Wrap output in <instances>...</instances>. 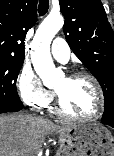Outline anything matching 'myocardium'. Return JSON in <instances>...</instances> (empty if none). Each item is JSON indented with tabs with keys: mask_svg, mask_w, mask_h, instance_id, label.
<instances>
[{
	"mask_svg": "<svg viewBox=\"0 0 114 156\" xmlns=\"http://www.w3.org/2000/svg\"><path fill=\"white\" fill-rule=\"evenodd\" d=\"M87 78L89 79L95 90H96V94H97V101H98V107L96 112L91 115V116H87V117H78V116H74L69 114L63 107L62 104V100L61 97L59 95V93L55 90V96H56V105H55V111L63 118L71 120V121H76V122H90V121H94L96 119H98L104 110V106H105V99H104V93H103V89L101 87L100 82L98 81V79L91 73L86 72V71H76L72 74H70L67 78L68 79H76V78Z\"/></svg>",
	"mask_w": 114,
	"mask_h": 156,
	"instance_id": "1",
	"label": "myocardium"
}]
</instances>
